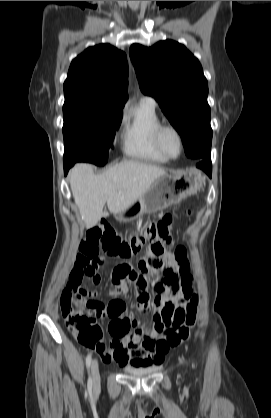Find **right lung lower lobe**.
I'll list each match as a JSON object with an SVG mask.
<instances>
[{"label": "right lung lower lobe", "instance_id": "1", "mask_svg": "<svg viewBox=\"0 0 271 418\" xmlns=\"http://www.w3.org/2000/svg\"><path fill=\"white\" fill-rule=\"evenodd\" d=\"M73 165L74 164H72V163L64 162V171H65V174H67L69 168L72 167Z\"/></svg>", "mask_w": 271, "mask_h": 418}]
</instances>
